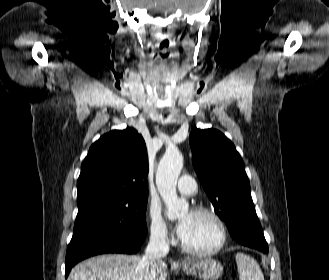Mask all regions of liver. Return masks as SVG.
Returning a JSON list of instances; mask_svg holds the SVG:
<instances>
[{
  "instance_id": "liver-1",
  "label": "liver",
  "mask_w": 329,
  "mask_h": 280,
  "mask_svg": "<svg viewBox=\"0 0 329 280\" xmlns=\"http://www.w3.org/2000/svg\"><path fill=\"white\" fill-rule=\"evenodd\" d=\"M141 259L120 254L92 257L76 265L67 280H166L164 262L147 270Z\"/></svg>"
}]
</instances>
